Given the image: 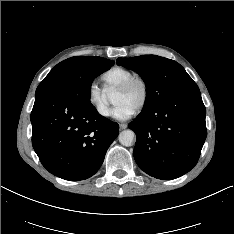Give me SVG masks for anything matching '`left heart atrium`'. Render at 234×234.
<instances>
[{
  "instance_id": "left-heart-atrium-1",
  "label": "left heart atrium",
  "mask_w": 234,
  "mask_h": 234,
  "mask_svg": "<svg viewBox=\"0 0 234 234\" xmlns=\"http://www.w3.org/2000/svg\"><path fill=\"white\" fill-rule=\"evenodd\" d=\"M134 111L135 110L131 108L130 106L124 103H121V104L116 105L112 109L111 115L117 120H126L134 114Z\"/></svg>"
}]
</instances>
